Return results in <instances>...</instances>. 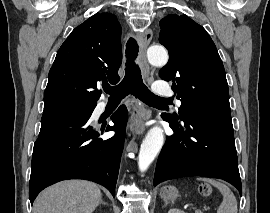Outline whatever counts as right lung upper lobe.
I'll return each mask as SVG.
<instances>
[{
	"instance_id": "1",
	"label": "right lung upper lobe",
	"mask_w": 270,
	"mask_h": 213,
	"mask_svg": "<svg viewBox=\"0 0 270 213\" xmlns=\"http://www.w3.org/2000/svg\"><path fill=\"white\" fill-rule=\"evenodd\" d=\"M121 27L115 15L97 13L76 27L57 52L44 92V107L74 101L97 104V85L120 80Z\"/></svg>"
}]
</instances>
